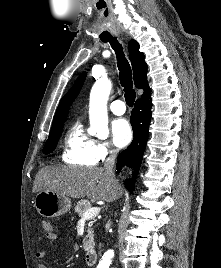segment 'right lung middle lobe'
<instances>
[{"label":"right lung middle lobe","instance_id":"dd1d6c3e","mask_svg":"<svg viewBox=\"0 0 221 268\" xmlns=\"http://www.w3.org/2000/svg\"><path fill=\"white\" fill-rule=\"evenodd\" d=\"M62 128H63V123L60 125H57L55 127H52V130L49 134L48 140L46 141V144L43 148L44 154H49V153L54 151V149L58 143V140L61 136Z\"/></svg>","mask_w":221,"mask_h":268}]
</instances>
